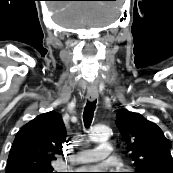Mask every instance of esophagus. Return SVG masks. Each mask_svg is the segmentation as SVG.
I'll list each match as a JSON object with an SVG mask.
<instances>
[{"label":"esophagus","mask_w":173,"mask_h":173,"mask_svg":"<svg viewBox=\"0 0 173 173\" xmlns=\"http://www.w3.org/2000/svg\"><path fill=\"white\" fill-rule=\"evenodd\" d=\"M98 98V92H91V91H89L88 93H87V99L89 100V101H95L96 99Z\"/></svg>","instance_id":"obj_1"}]
</instances>
